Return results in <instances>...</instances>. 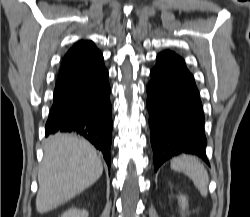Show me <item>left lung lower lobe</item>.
I'll list each match as a JSON object with an SVG mask.
<instances>
[{"label": "left lung lower lobe", "mask_w": 250, "mask_h": 217, "mask_svg": "<svg viewBox=\"0 0 250 217\" xmlns=\"http://www.w3.org/2000/svg\"><path fill=\"white\" fill-rule=\"evenodd\" d=\"M150 75L147 108L155 170L183 153L209 164L202 104L184 60L169 50L161 52Z\"/></svg>", "instance_id": "left-lung-lower-lobe-1"}]
</instances>
